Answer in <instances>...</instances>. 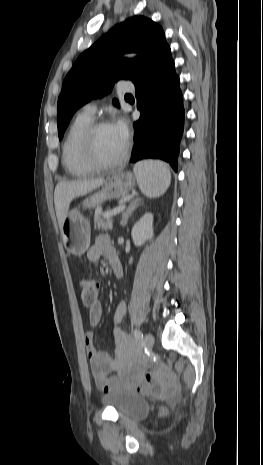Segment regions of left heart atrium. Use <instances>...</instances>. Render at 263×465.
<instances>
[{
	"label": "left heart atrium",
	"mask_w": 263,
	"mask_h": 465,
	"mask_svg": "<svg viewBox=\"0 0 263 465\" xmlns=\"http://www.w3.org/2000/svg\"><path fill=\"white\" fill-rule=\"evenodd\" d=\"M114 131L116 134L119 136V138L126 143L129 137V129L127 122L124 119H118L113 125H112Z\"/></svg>",
	"instance_id": "obj_1"
}]
</instances>
